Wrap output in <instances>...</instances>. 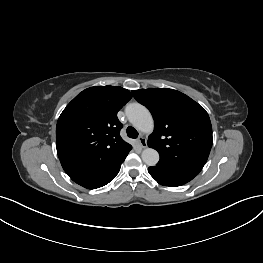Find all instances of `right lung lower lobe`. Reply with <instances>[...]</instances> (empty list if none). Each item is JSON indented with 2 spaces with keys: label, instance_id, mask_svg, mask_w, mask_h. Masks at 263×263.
I'll return each mask as SVG.
<instances>
[{
  "label": "right lung lower lobe",
  "instance_id": "1",
  "mask_svg": "<svg viewBox=\"0 0 263 263\" xmlns=\"http://www.w3.org/2000/svg\"><path fill=\"white\" fill-rule=\"evenodd\" d=\"M125 158L101 173L75 180V182L88 189H96L102 187L113 180L114 177L118 174L121 164L124 162Z\"/></svg>",
  "mask_w": 263,
  "mask_h": 263
}]
</instances>
